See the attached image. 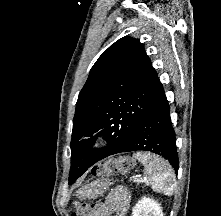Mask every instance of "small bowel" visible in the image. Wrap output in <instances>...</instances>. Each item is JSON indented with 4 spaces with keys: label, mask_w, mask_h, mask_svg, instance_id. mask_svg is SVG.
Returning <instances> with one entry per match:
<instances>
[{
    "label": "small bowel",
    "mask_w": 221,
    "mask_h": 216,
    "mask_svg": "<svg viewBox=\"0 0 221 216\" xmlns=\"http://www.w3.org/2000/svg\"><path fill=\"white\" fill-rule=\"evenodd\" d=\"M129 195L125 190L111 192L103 203L95 206L88 216H125Z\"/></svg>",
    "instance_id": "1"
}]
</instances>
